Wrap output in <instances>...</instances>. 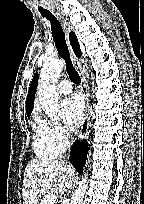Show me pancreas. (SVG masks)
<instances>
[{"label": "pancreas", "mask_w": 144, "mask_h": 204, "mask_svg": "<svg viewBox=\"0 0 144 204\" xmlns=\"http://www.w3.org/2000/svg\"><path fill=\"white\" fill-rule=\"evenodd\" d=\"M46 199V197H43L42 199H41V201H40V203L39 204H44V200Z\"/></svg>", "instance_id": "obj_1"}]
</instances>
